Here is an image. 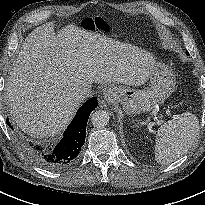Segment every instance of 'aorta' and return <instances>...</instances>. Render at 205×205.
<instances>
[{
    "mask_svg": "<svg viewBox=\"0 0 205 205\" xmlns=\"http://www.w3.org/2000/svg\"><path fill=\"white\" fill-rule=\"evenodd\" d=\"M109 120L110 116L104 110H97L91 116V122L97 128L105 127L109 123Z\"/></svg>",
    "mask_w": 205,
    "mask_h": 205,
    "instance_id": "obj_1",
    "label": "aorta"
}]
</instances>
